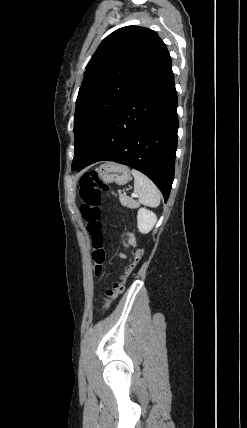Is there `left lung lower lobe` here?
Masks as SVG:
<instances>
[{"label":"left lung lower lobe","instance_id":"1","mask_svg":"<svg viewBox=\"0 0 247 428\" xmlns=\"http://www.w3.org/2000/svg\"><path fill=\"white\" fill-rule=\"evenodd\" d=\"M177 92L171 60L151 81L128 96L112 115L80 171L97 161H114L148 176L167 201L177 149Z\"/></svg>","mask_w":247,"mask_h":428}]
</instances>
